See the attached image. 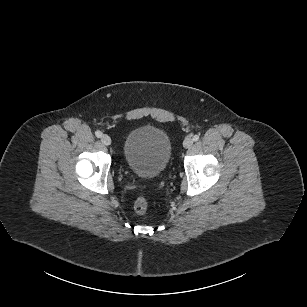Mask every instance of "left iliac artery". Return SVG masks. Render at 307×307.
<instances>
[{"mask_svg":"<svg viewBox=\"0 0 307 307\" xmlns=\"http://www.w3.org/2000/svg\"><path fill=\"white\" fill-rule=\"evenodd\" d=\"M199 139V135H194L193 141H197Z\"/></svg>","mask_w":307,"mask_h":307,"instance_id":"left-iliac-artery-1","label":"left iliac artery"}]
</instances>
